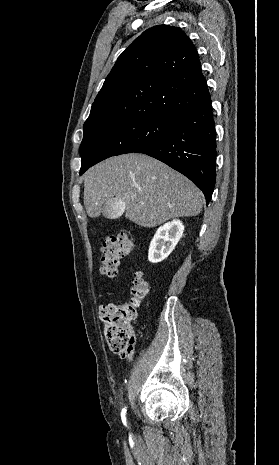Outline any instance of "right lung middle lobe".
I'll use <instances>...</instances> for the list:
<instances>
[{"label": "right lung middle lobe", "instance_id": "obj_1", "mask_svg": "<svg viewBox=\"0 0 279 465\" xmlns=\"http://www.w3.org/2000/svg\"><path fill=\"white\" fill-rule=\"evenodd\" d=\"M172 126V119L133 117L85 129L80 145V174L108 157L142 151L165 136Z\"/></svg>", "mask_w": 279, "mask_h": 465}]
</instances>
